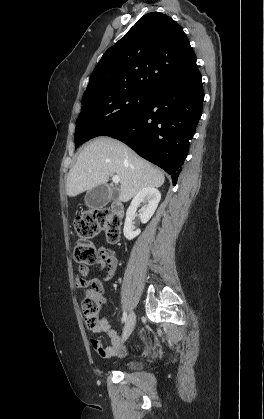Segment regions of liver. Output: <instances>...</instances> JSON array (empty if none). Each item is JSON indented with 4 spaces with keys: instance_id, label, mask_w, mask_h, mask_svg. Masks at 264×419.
<instances>
[{
    "instance_id": "obj_1",
    "label": "liver",
    "mask_w": 264,
    "mask_h": 419,
    "mask_svg": "<svg viewBox=\"0 0 264 419\" xmlns=\"http://www.w3.org/2000/svg\"><path fill=\"white\" fill-rule=\"evenodd\" d=\"M120 177L119 201L127 202L140 190L161 187L163 172L153 167L122 142L98 137L80 152L75 165L69 170L66 192L75 197L108 182L110 176Z\"/></svg>"
}]
</instances>
